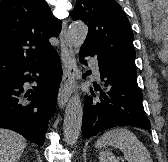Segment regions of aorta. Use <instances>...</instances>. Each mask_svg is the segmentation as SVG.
Wrapping results in <instances>:
<instances>
[{
	"label": "aorta",
	"instance_id": "obj_1",
	"mask_svg": "<svg viewBox=\"0 0 168 162\" xmlns=\"http://www.w3.org/2000/svg\"><path fill=\"white\" fill-rule=\"evenodd\" d=\"M88 27L82 22H73L69 27V40L75 48H80L87 36ZM83 118V106L79 95L75 94L69 101L63 123L64 140L73 145L79 138Z\"/></svg>",
	"mask_w": 168,
	"mask_h": 162
}]
</instances>
